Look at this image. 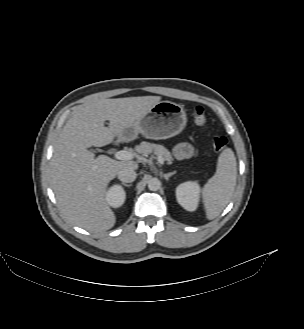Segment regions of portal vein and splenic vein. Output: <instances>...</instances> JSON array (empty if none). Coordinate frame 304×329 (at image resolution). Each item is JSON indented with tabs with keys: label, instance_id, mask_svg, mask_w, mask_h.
I'll list each match as a JSON object with an SVG mask.
<instances>
[{
	"label": "portal vein and splenic vein",
	"instance_id": "18ae733b",
	"mask_svg": "<svg viewBox=\"0 0 304 329\" xmlns=\"http://www.w3.org/2000/svg\"><path fill=\"white\" fill-rule=\"evenodd\" d=\"M114 157L118 160H132L134 158V154L130 151L121 150L115 152ZM157 160L160 164L164 163V159L161 155L157 156Z\"/></svg>",
	"mask_w": 304,
	"mask_h": 329
}]
</instances>
